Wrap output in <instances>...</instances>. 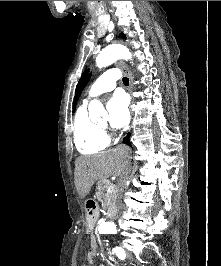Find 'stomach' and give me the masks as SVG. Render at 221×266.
I'll return each instance as SVG.
<instances>
[{"label": "stomach", "mask_w": 221, "mask_h": 266, "mask_svg": "<svg viewBox=\"0 0 221 266\" xmlns=\"http://www.w3.org/2000/svg\"><path fill=\"white\" fill-rule=\"evenodd\" d=\"M97 218V214L96 213H92V212H87V219L88 220H94Z\"/></svg>", "instance_id": "stomach-1"}]
</instances>
